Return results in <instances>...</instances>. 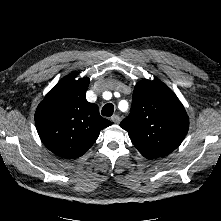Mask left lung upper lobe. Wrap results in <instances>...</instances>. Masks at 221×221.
I'll use <instances>...</instances> for the list:
<instances>
[{
    "instance_id": "1",
    "label": "left lung upper lobe",
    "mask_w": 221,
    "mask_h": 221,
    "mask_svg": "<svg viewBox=\"0 0 221 221\" xmlns=\"http://www.w3.org/2000/svg\"><path fill=\"white\" fill-rule=\"evenodd\" d=\"M120 127L138 150L158 158L181 144L189 119L177 96L163 82L143 79L135 85L130 114Z\"/></svg>"
}]
</instances>
